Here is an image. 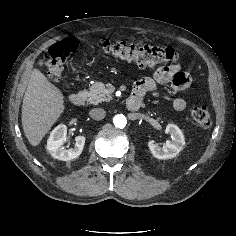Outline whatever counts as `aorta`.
I'll use <instances>...</instances> for the list:
<instances>
[{"mask_svg":"<svg viewBox=\"0 0 236 236\" xmlns=\"http://www.w3.org/2000/svg\"><path fill=\"white\" fill-rule=\"evenodd\" d=\"M113 123L117 128L123 129L127 124V119L124 115H115L113 118Z\"/></svg>","mask_w":236,"mask_h":236,"instance_id":"1","label":"aorta"}]
</instances>
